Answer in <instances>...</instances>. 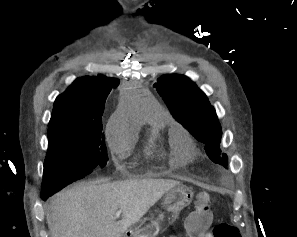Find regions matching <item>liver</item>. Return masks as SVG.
Masks as SVG:
<instances>
[{
	"mask_svg": "<svg viewBox=\"0 0 297 237\" xmlns=\"http://www.w3.org/2000/svg\"><path fill=\"white\" fill-rule=\"evenodd\" d=\"M176 180L80 183L58 193L47 213L51 237H121L169 190ZM121 210L122 219L115 221Z\"/></svg>",
	"mask_w": 297,
	"mask_h": 237,
	"instance_id": "obj_1",
	"label": "liver"
}]
</instances>
